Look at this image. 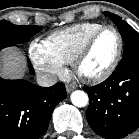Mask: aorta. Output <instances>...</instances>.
<instances>
[{
	"mask_svg": "<svg viewBox=\"0 0 139 139\" xmlns=\"http://www.w3.org/2000/svg\"><path fill=\"white\" fill-rule=\"evenodd\" d=\"M70 98H71L72 104L80 108L85 107L89 102L88 95L84 91H81V90H76L72 92Z\"/></svg>",
	"mask_w": 139,
	"mask_h": 139,
	"instance_id": "1",
	"label": "aorta"
}]
</instances>
